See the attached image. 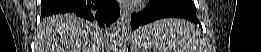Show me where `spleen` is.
Returning <instances> with one entry per match:
<instances>
[{
  "mask_svg": "<svg viewBox=\"0 0 261 52\" xmlns=\"http://www.w3.org/2000/svg\"><path fill=\"white\" fill-rule=\"evenodd\" d=\"M151 37L155 52H202L200 33L190 22L163 19L142 27ZM206 52V51H205Z\"/></svg>",
  "mask_w": 261,
  "mask_h": 52,
  "instance_id": "1",
  "label": "spleen"
}]
</instances>
